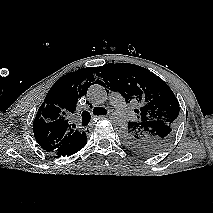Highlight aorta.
Here are the masks:
<instances>
[{"label":"aorta","instance_id":"1","mask_svg":"<svg viewBox=\"0 0 213 213\" xmlns=\"http://www.w3.org/2000/svg\"><path fill=\"white\" fill-rule=\"evenodd\" d=\"M87 96L89 100L96 105L104 104L107 100V92L105 88L99 84L90 86L87 91ZM111 121L119 127L126 126V120L120 113H113L111 115Z\"/></svg>","mask_w":213,"mask_h":213}]
</instances>
